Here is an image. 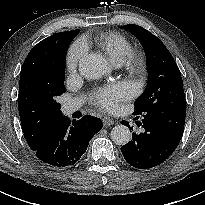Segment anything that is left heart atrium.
<instances>
[{
	"label": "left heart atrium",
	"instance_id": "obj_1",
	"mask_svg": "<svg viewBox=\"0 0 205 205\" xmlns=\"http://www.w3.org/2000/svg\"><path fill=\"white\" fill-rule=\"evenodd\" d=\"M133 91L132 84L128 82L111 83L95 90L92 94V102L100 108L113 109L118 103L129 99Z\"/></svg>",
	"mask_w": 205,
	"mask_h": 205
}]
</instances>
